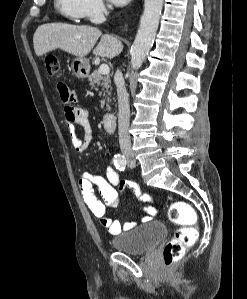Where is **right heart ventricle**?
<instances>
[{
  "label": "right heart ventricle",
  "mask_w": 247,
  "mask_h": 299,
  "mask_svg": "<svg viewBox=\"0 0 247 299\" xmlns=\"http://www.w3.org/2000/svg\"><path fill=\"white\" fill-rule=\"evenodd\" d=\"M56 10L65 18L78 21L82 17L81 0H54Z\"/></svg>",
  "instance_id": "obj_1"
}]
</instances>
